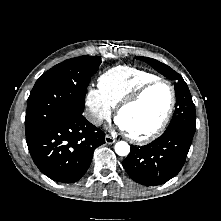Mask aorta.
Wrapping results in <instances>:
<instances>
[{"label": "aorta", "mask_w": 221, "mask_h": 221, "mask_svg": "<svg viewBox=\"0 0 221 221\" xmlns=\"http://www.w3.org/2000/svg\"><path fill=\"white\" fill-rule=\"evenodd\" d=\"M115 152L119 156H127L130 152V146L125 141H119L115 144Z\"/></svg>", "instance_id": "762f6f07"}]
</instances>
